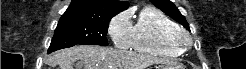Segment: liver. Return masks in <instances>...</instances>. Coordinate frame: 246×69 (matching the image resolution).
<instances>
[{"label":"liver","instance_id":"obj_1","mask_svg":"<svg viewBox=\"0 0 246 69\" xmlns=\"http://www.w3.org/2000/svg\"><path fill=\"white\" fill-rule=\"evenodd\" d=\"M60 69H145L151 64L170 63L149 55H140L126 50L101 46H77L59 51L53 56Z\"/></svg>","mask_w":246,"mask_h":69}]
</instances>
